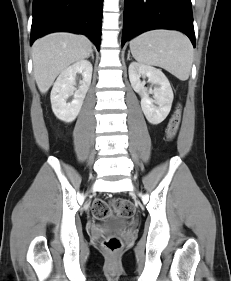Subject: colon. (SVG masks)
<instances>
[{"label":"colon","instance_id":"5ec220e1","mask_svg":"<svg viewBox=\"0 0 231 281\" xmlns=\"http://www.w3.org/2000/svg\"><path fill=\"white\" fill-rule=\"evenodd\" d=\"M180 120L181 106L178 105L167 125L166 135L169 140L176 136ZM134 212L135 209L133 204L122 199H113L110 202L97 199L92 204V214L98 219L107 218L113 213L129 218L134 215ZM103 245L108 251L115 252L120 248L121 241L116 237H110L104 240Z\"/></svg>","mask_w":231,"mask_h":281}]
</instances>
